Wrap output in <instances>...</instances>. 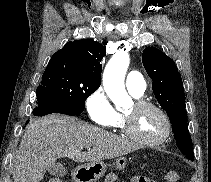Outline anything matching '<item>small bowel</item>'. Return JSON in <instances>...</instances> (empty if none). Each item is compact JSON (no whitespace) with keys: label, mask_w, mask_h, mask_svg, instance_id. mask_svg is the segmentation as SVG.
I'll return each instance as SVG.
<instances>
[{"label":"small bowel","mask_w":211,"mask_h":182,"mask_svg":"<svg viewBox=\"0 0 211 182\" xmlns=\"http://www.w3.org/2000/svg\"><path fill=\"white\" fill-rule=\"evenodd\" d=\"M117 178L116 176L114 177V180L112 182H116ZM133 182H155L153 180H150L148 178H143V177H137L133 180Z\"/></svg>","instance_id":"c3829d8e"}]
</instances>
